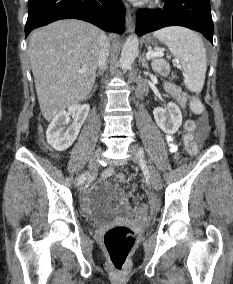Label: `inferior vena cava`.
<instances>
[{
	"label": "inferior vena cava",
	"instance_id": "obj_1",
	"mask_svg": "<svg viewBox=\"0 0 233 284\" xmlns=\"http://www.w3.org/2000/svg\"><path fill=\"white\" fill-rule=\"evenodd\" d=\"M109 51H110V44L107 39V36L104 33H101L99 40V58H98V66L100 70H104L106 67Z\"/></svg>",
	"mask_w": 233,
	"mask_h": 284
}]
</instances>
